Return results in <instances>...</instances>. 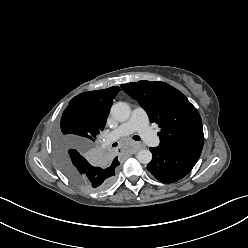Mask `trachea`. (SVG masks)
Returning a JSON list of instances; mask_svg holds the SVG:
<instances>
[{"instance_id": "1", "label": "trachea", "mask_w": 248, "mask_h": 248, "mask_svg": "<svg viewBox=\"0 0 248 248\" xmlns=\"http://www.w3.org/2000/svg\"><path fill=\"white\" fill-rule=\"evenodd\" d=\"M133 139L136 140V141H140L141 138L138 135H134Z\"/></svg>"}]
</instances>
